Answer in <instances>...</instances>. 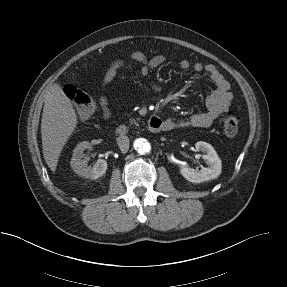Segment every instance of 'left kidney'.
I'll use <instances>...</instances> for the list:
<instances>
[{"label": "left kidney", "instance_id": "left-kidney-1", "mask_svg": "<svg viewBox=\"0 0 287 287\" xmlns=\"http://www.w3.org/2000/svg\"><path fill=\"white\" fill-rule=\"evenodd\" d=\"M195 148L196 151L205 153L202 158L206 161L208 167H203L200 171H197L188 166H183L180 168V174L192 183H203L217 179L221 174L222 164L214 148L203 141L197 142Z\"/></svg>", "mask_w": 287, "mask_h": 287}]
</instances>
